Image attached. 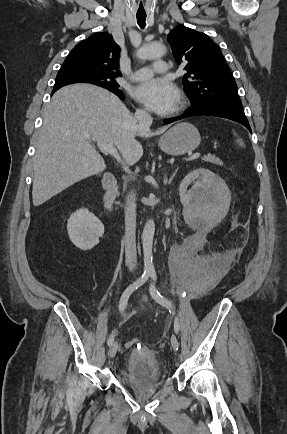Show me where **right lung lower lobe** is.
I'll list each match as a JSON object with an SVG mask.
<instances>
[{"mask_svg":"<svg viewBox=\"0 0 287 434\" xmlns=\"http://www.w3.org/2000/svg\"><path fill=\"white\" fill-rule=\"evenodd\" d=\"M53 94V93H52ZM121 100H124V95L123 93H115Z\"/></svg>","mask_w":287,"mask_h":434,"instance_id":"right-lung-lower-lobe-1","label":"right lung lower lobe"}]
</instances>
